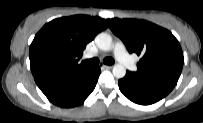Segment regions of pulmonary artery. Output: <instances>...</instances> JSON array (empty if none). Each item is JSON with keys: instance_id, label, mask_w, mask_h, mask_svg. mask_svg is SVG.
Returning a JSON list of instances; mask_svg holds the SVG:
<instances>
[{"instance_id": "obj_1", "label": "pulmonary artery", "mask_w": 203, "mask_h": 123, "mask_svg": "<svg viewBox=\"0 0 203 123\" xmlns=\"http://www.w3.org/2000/svg\"><path fill=\"white\" fill-rule=\"evenodd\" d=\"M114 54L117 60L128 70H135V64L128 55L124 45L121 42H116L114 45Z\"/></svg>"}]
</instances>
